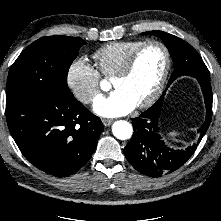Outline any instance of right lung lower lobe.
<instances>
[{
	"label": "right lung lower lobe",
	"mask_w": 221,
	"mask_h": 221,
	"mask_svg": "<svg viewBox=\"0 0 221 221\" xmlns=\"http://www.w3.org/2000/svg\"><path fill=\"white\" fill-rule=\"evenodd\" d=\"M10 133L26 159L56 177L76 173L90 159L104 126L73 94L6 98Z\"/></svg>",
	"instance_id": "1"
}]
</instances>
